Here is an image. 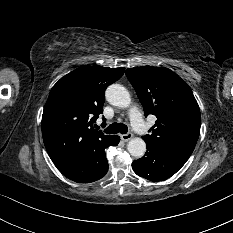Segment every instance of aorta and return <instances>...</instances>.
<instances>
[{
  "label": "aorta",
  "mask_w": 233,
  "mask_h": 233,
  "mask_svg": "<svg viewBox=\"0 0 233 233\" xmlns=\"http://www.w3.org/2000/svg\"><path fill=\"white\" fill-rule=\"evenodd\" d=\"M105 95L110 104L120 108H127L131 103L129 92L120 84L110 85ZM127 150L131 156L141 158L146 152V143L142 138H132L127 144Z\"/></svg>",
  "instance_id": "aorta-1"
}]
</instances>
